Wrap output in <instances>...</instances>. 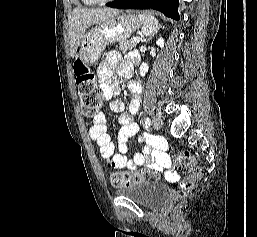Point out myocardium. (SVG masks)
Here are the masks:
<instances>
[{
    "instance_id": "obj_1",
    "label": "myocardium",
    "mask_w": 257,
    "mask_h": 237,
    "mask_svg": "<svg viewBox=\"0 0 257 237\" xmlns=\"http://www.w3.org/2000/svg\"><path fill=\"white\" fill-rule=\"evenodd\" d=\"M95 3H108V2H111V1H114V0H93Z\"/></svg>"
}]
</instances>
